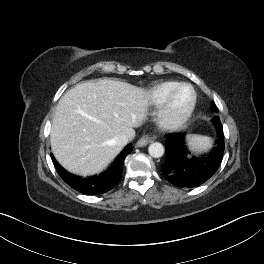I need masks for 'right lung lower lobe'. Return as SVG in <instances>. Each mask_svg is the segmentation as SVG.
I'll list each match as a JSON object with an SVG mask.
<instances>
[{"instance_id": "98d812e1", "label": "right lung lower lobe", "mask_w": 264, "mask_h": 264, "mask_svg": "<svg viewBox=\"0 0 264 264\" xmlns=\"http://www.w3.org/2000/svg\"><path fill=\"white\" fill-rule=\"evenodd\" d=\"M132 149V145L129 144L107 171L89 178H80L69 174L57 163L52 154L51 157L59 175L70 187L84 194L96 195L111 190L119 183L124 159Z\"/></svg>"}]
</instances>
